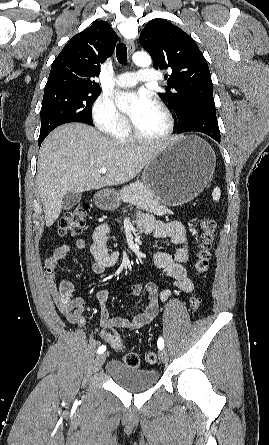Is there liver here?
I'll use <instances>...</instances> for the list:
<instances>
[{
  "label": "liver",
  "mask_w": 269,
  "mask_h": 445,
  "mask_svg": "<svg viewBox=\"0 0 269 445\" xmlns=\"http://www.w3.org/2000/svg\"><path fill=\"white\" fill-rule=\"evenodd\" d=\"M164 145L138 146L110 140L82 123L65 124L43 142L37 186L47 227L61 213L67 192L81 193L124 184L135 178ZM106 167L102 176L98 171Z\"/></svg>",
  "instance_id": "1"
}]
</instances>
